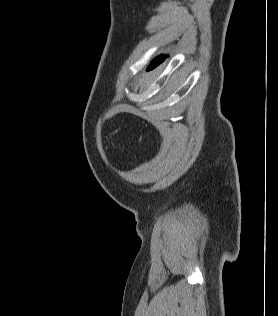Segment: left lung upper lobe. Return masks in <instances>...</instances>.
Here are the masks:
<instances>
[{"instance_id":"obj_1","label":"left lung upper lobe","mask_w":278,"mask_h":316,"mask_svg":"<svg viewBox=\"0 0 278 316\" xmlns=\"http://www.w3.org/2000/svg\"><path fill=\"white\" fill-rule=\"evenodd\" d=\"M161 57H162V55L159 56V57H156V58L151 62V64H150L148 70H151V69L155 68V67H156V64L159 62V60L161 59Z\"/></svg>"}]
</instances>
